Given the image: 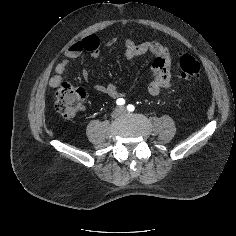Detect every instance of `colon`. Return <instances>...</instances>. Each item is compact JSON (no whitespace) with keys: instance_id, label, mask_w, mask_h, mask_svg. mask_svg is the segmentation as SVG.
<instances>
[{"instance_id":"obj_1","label":"colon","mask_w":236,"mask_h":236,"mask_svg":"<svg viewBox=\"0 0 236 236\" xmlns=\"http://www.w3.org/2000/svg\"><path fill=\"white\" fill-rule=\"evenodd\" d=\"M179 71L182 78L195 79L200 74V64L191 55H183L179 60ZM86 96L83 89L67 83L61 84L56 93V111L65 119H72L80 109Z\"/></svg>"}]
</instances>
